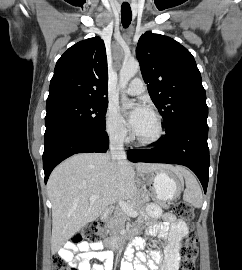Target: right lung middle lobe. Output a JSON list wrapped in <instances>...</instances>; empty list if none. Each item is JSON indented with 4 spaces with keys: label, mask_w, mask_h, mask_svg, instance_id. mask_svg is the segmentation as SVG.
<instances>
[{
    "label": "right lung middle lobe",
    "mask_w": 242,
    "mask_h": 270,
    "mask_svg": "<svg viewBox=\"0 0 242 270\" xmlns=\"http://www.w3.org/2000/svg\"><path fill=\"white\" fill-rule=\"evenodd\" d=\"M108 100H68L46 105V130L57 125H77L105 130Z\"/></svg>",
    "instance_id": "1"
}]
</instances>
